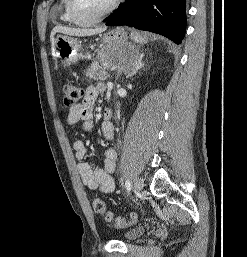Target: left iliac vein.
<instances>
[{"label":"left iliac vein","instance_id":"1","mask_svg":"<svg viewBox=\"0 0 247 257\" xmlns=\"http://www.w3.org/2000/svg\"><path fill=\"white\" fill-rule=\"evenodd\" d=\"M143 186H144V184H143L142 179L136 178L134 181V188H135L136 192L140 193L143 189Z\"/></svg>","mask_w":247,"mask_h":257}]
</instances>
